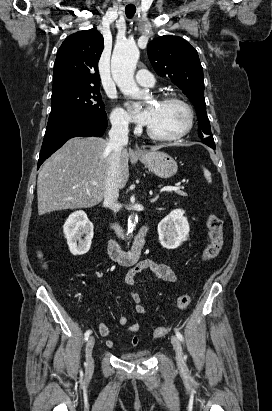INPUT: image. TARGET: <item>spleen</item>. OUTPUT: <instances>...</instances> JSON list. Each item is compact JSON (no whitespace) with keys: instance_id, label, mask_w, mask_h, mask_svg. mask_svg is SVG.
Segmentation results:
<instances>
[{"instance_id":"spleen-1","label":"spleen","mask_w":272,"mask_h":411,"mask_svg":"<svg viewBox=\"0 0 272 411\" xmlns=\"http://www.w3.org/2000/svg\"><path fill=\"white\" fill-rule=\"evenodd\" d=\"M203 172H204V176H205L206 180L208 181V183H211L212 179H211L210 171L207 170L206 168H203Z\"/></svg>"}]
</instances>
